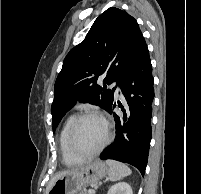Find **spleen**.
Listing matches in <instances>:
<instances>
[{"mask_svg": "<svg viewBox=\"0 0 201 194\" xmlns=\"http://www.w3.org/2000/svg\"><path fill=\"white\" fill-rule=\"evenodd\" d=\"M106 164L109 167L108 178L111 181H118L131 174L130 168L123 163L114 160H107Z\"/></svg>", "mask_w": 201, "mask_h": 194, "instance_id": "obj_1", "label": "spleen"}]
</instances>
